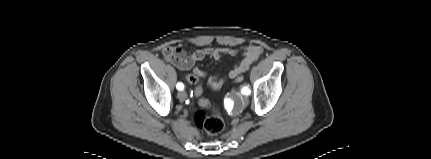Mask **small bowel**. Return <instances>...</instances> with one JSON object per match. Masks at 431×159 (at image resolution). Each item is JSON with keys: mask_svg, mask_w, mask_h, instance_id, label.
<instances>
[{"mask_svg": "<svg viewBox=\"0 0 431 159\" xmlns=\"http://www.w3.org/2000/svg\"><path fill=\"white\" fill-rule=\"evenodd\" d=\"M240 51L242 52L243 58L228 73V78L237 79V76L243 74L262 54L263 50L259 45H249L242 50L231 47H206L195 50L192 53H187L184 48L179 45L167 46L163 49V56L167 62L178 69L188 70L192 68L196 62L201 61L207 56L218 60L224 55L236 56ZM190 74H194L196 78L200 79L206 76V73L199 68H194ZM223 83L224 79L219 77H209L207 82L208 86L213 90H218Z\"/></svg>", "mask_w": 431, "mask_h": 159, "instance_id": "c3829d8e", "label": "small bowel"}]
</instances>
